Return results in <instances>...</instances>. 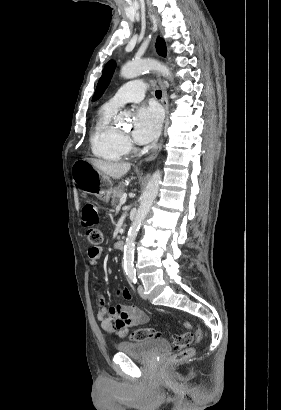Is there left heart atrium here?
<instances>
[{
    "label": "left heart atrium",
    "mask_w": 281,
    "mask_h": 410,
    "mask_svg": "<svg viewBox=\"0 0 281 410\" xmlns=\"http://www.w3.org/2000/svg\"><path fill=\"white\" fill-rule=\"evenodd\" d=\"M162 114L155 106H143L136 110L132 136L139 144L154 141L161 129Z\"/></svg>",
    "instance_id": "39dd6f15"
}]
</instances>
